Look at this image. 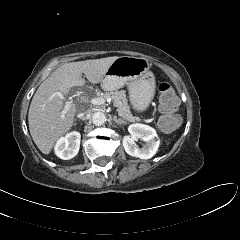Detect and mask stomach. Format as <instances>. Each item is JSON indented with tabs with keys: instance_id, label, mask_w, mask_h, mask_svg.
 <instances>
[{
	"instance_id": "obj_1",
	"label": "stomach",
	"mask_w": 240,
	"mask_h": 240,
	"mask_svg": "<svg viewBox=\"0 0 240 240\" xmlns=\"http://www.w3.org/2000/svg\"><path fill=\"white\" fill-rule=\"evenodd\" d=\"M127 85L129 98L136 112H143L155 94V76L149 70V62L142 57H118L109 67L101 86L113 91Z\"/></svg>"
}]
</instances>
